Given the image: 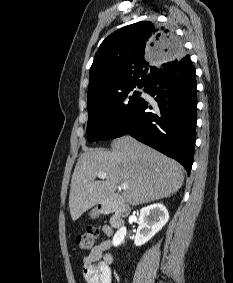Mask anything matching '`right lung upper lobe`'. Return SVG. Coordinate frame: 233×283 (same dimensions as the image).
<instances>
[{"label":"right lung upper lobe","mask_w":233,"mask_h":283,"mask_svg":"<svg viewBox=\"0 0 233 283\" xmlns=\"http://www.w3.org/2000/svg\"><path fill=\"white\" fill-rule=\"evenodd\" d=\"M167 28L150 21L125 26L100 45L90 68L87 105L132 86H147L189 50ZM160 59V60H157Z\"/></svg>","instance_id":"obj_1"}]
</instances>
